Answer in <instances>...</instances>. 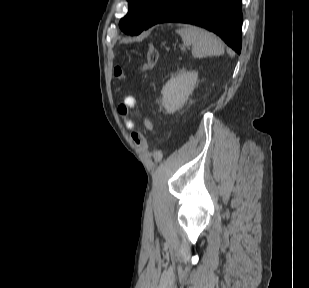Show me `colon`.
Listing matches in <instances>:
<instances>
[{
    "mask_svg": "<svg viewBox=\"0 0 309 288\" xmlns=\"http://www.w3.org/2000/svg\"><path fill=\"white\" fill-rule=\"evenodd\" d=\"M158 57H159L158 51L154 47L149 46L146 50L144 59L141 65L139 66L137 72L139 74H143L145 72L152 70L158 61ZM114 72L116 77L119 79H123L125 77V69L123 67L120 66L116 67ZM120 112L125 116L129 114L128 109L125 106L120 108ZM132 138L138 145L142 146L143 148H147L146 139L139 130L133 131Z\"/></svg>",
    "mask_w": 309,
    "mask_h": 288,
    "instance_id": "1",
    "label": "colon"
}]
</instances>
